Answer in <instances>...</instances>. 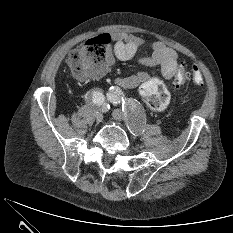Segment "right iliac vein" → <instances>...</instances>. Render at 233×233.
<instances>
[{
  "instance_id": "63e3f726",
  "label": "right iliac vein",
  "mask_w": 233,
  "mask_h": 233,
  "mask_svg": "<svg viewBox=\"0 0 233 233\" xmlns=\"http://www.w3.org/2000/svg\"><path fill=\"white\" fill-rule=\"evenodd\" d=\"M95 118L97 122H101L103 120V115L100 112H96Z\"/></svg>"
}]
</instances>
